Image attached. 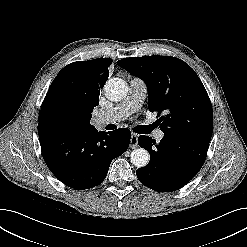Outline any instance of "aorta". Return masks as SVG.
<instances>
[{"instance_id":"762f6f07","label":"aorta","mask_w":247,"mask_h":247,"mask_svg":"<svg viewBox=\"0 0 247 247\" xmlns=\"http://www.w3.org/2000/svg\"><path fill=\"white\" fill-rule=\"evenodd\" d=\"M127 91V83L120 78H111L104 85L105 95L110 101H121L126 97ZM130 159L134 166L142 168L149 163L150 156L144 148H137L131 152Z\"/></svg>"}]
</instances>
